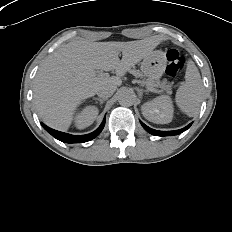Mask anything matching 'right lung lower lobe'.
<instances>
[{"mask_svg": "<svg viewBox=\"0 0 232 232\" xmlns=\"http://www.w3.org/2000/svg\"><path fill=\"white\" fill-rule=\"evenodd\" d=\"M42 126L51 134L53 135L55 138H57L58 140L62 141V142H66V143H83V142H87L92 140L93 138H95L103 129L104 125H105V118L103 120V122L101 123V125L92 133L86 134V135H71V134H67L58 130H54L48 126H46L45 124L41 123Z\"/></svg>", "mask_w": 232, "mask_h": 232, "instance_id": "right-lung-lower-lobe-1", "label": "right lung lower lobe"}]
</instances>
